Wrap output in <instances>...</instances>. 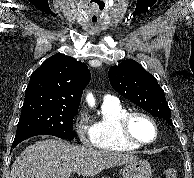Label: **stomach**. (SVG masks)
Wrapping results in <instances>:
<instances>
[{"label":"stomach","mask_w":194,"mask_h":178,"mask_svg":"<svg viewBox=\"0 0 194 178\" xmlns=\"http://www.w3.org/2000/svg\"><path fill=\"white\" fill-rule=\"evenodd\" d=\"M122 178H152L151 165L146 160H134L123 167Z\"/></svg>","instance_id":"1"}]
</instances>
